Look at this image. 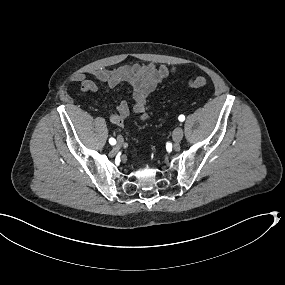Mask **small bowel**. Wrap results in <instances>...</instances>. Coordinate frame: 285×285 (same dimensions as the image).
<instances>
[{"instance_id":"small-bowel-1","label":"small bowel","mask_w":285,"mask_h":285,"mask_svg":"<svg viewBox=\"0 0 285 285\" xmlns=\"http://www.w3.org/2000/svg\"><path fill=\"white\" fill-rule=\"evenodd\" d=\"M176 72L173 66L149 64H126L114 69H97L90 74L96 80L115 87L120 83H128L132 89L133 106L132 109L139 115L141 123L149 119L146 110L148 96L156 89L162 80ZM74 81L79 84L81 92H96L98 85L85 74H78ZM130 112V106L127 101L122 100L116 106L115 111L109 115L110 121L117 127H124L125 118Z\"/></svg>"}]
</instances>
